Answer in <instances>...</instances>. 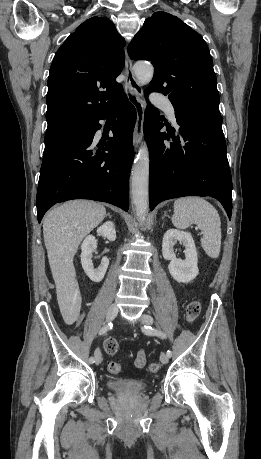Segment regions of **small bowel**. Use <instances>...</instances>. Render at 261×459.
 Listing matches in <instances>:
<instances>
[{
	"label": "small bowel",
	"instance_id": "small-bowel-1",
	"mask_svg": "<svg viewBox=\"0 0 261 459\" xmlns=\"http://www.w3.org/2000/svg\"><path fill=\"white\" fill-rule=\"evenodd\" d=\"M145 362H146L145 354L143 351H140L135 359V365L138 368H142L144 367Z\"/></svg>",
	"mask_w": 261,
	"mask_h": 459
}]
</instances>
